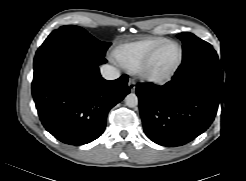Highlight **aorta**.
Instances as JSON below:
<instances>
[{
  "label": "aorta",
  "instance_id": "762f6f07",
  "mask_svg": "<svg viewBox=\"0 0 246 181\" xmlns=\"http://www.w3.org/2000/svg\"><path fill=\"white\" fill-rule=\"evenodd\" d=\"M124 101H125V105L127 107H130V108L136 107L138 105V102H139L137 95L134 93L128 94L125 97Z\"/></svg>",
  "mask_w": 246,
  "mask_h": 181
}]
</instances>
